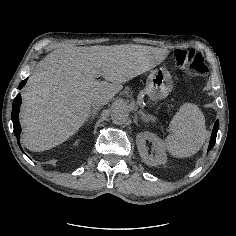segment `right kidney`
Instances as JSON below:
<instances>
[{
  "label": "right kidney",
  "instance_id": "ca27d5eb",
  "mask_svg": "<svg viewBox=\"0 0 236 236\" xmlns=\"http://www.w3.org/2000/svg\"><path fill=\"white\" fill-rule=\"evenodd\" d=\"M79 142H80V140L77 139V140L73 143V145H74V146H77Z\"/></svg>",
  "mask_w": 236,
  "mask_h": 236
}]
</instances>
